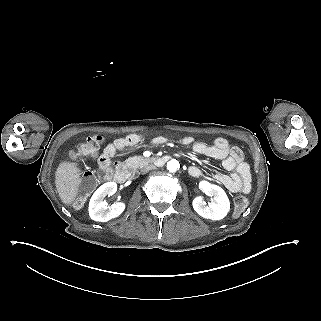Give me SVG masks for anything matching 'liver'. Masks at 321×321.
Returning a JSON list of instances; mask_svg holds the SVG:
<instances>
[{"mask_svg": "<svg viewBox=\"0 0 321 321\" xmlns=\"http://www.w3.org/2000/svg\"><path fill=\"white\" fill-rule=\"evenodd\" d=\"M76 163L62 162L55 173V184L63 203L70 205L79 193L82 182Z\"/></svg>", "mask_w": 321, "mask_h": 321, "instance_id": "6515ba94", "label": "liver"}]
</instances>
